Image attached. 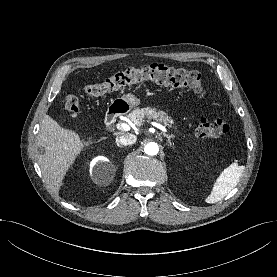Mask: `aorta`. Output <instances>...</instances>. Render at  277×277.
<instances>
[{"mask_svg": "<svg viewBox=\"0 0 277 277\" xmlns=\"http://www.w3.org/2000/svg\"><path fill=\"white\" fill-rule=\"evenodd\" d=\"M158 151H159V147L157 143H154V142L148 143L144 148V152L147 155H156Z\"/></svg>", "mask_w": 277, "mask_h": 277, "instance_id": "aorta-1", "label": "aorta"}]
</instances>
